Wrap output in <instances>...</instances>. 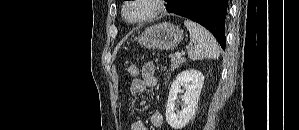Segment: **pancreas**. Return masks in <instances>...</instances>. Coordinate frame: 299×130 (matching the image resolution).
I'll return each mask as SVG.
<instances>
[{
  "label": "pancreas",
  "mask_w": 299,
  "mask_h": 130,
  "mask_svg": "<svg viewBox=\"0 0 299 130\" xmlns=\"http://www.w3.org/2000/svg\"><path fill=\"white\" fill-rule=\"evenodd\" d=\"M184 62H185L184 58L178 57L175 54L171 55V69L172 70L179 68Z\"/></svg>",
  "instance_id": "pancreas-1"
}]
</instances>
